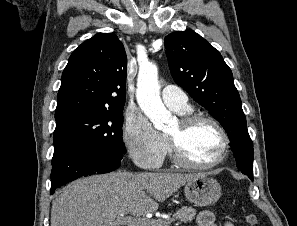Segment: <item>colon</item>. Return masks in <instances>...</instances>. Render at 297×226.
Returning a JSON list of instances; mask_svg holds the SVG:
<instances>
[{"instance_id": "1", "label": "colon", "mask_w": 297, "mask_h": 226, "mask_svg": "<svg viewBox=\"0 0 297 226\" xmlns=\"http://www.w3.org/2000/svg\"><path fill=\"white\" fill-rule=\"evenodd\" d=\"M245 223L247 226H256L258 224V218L254 214H247L245 216Z\"/></svg>"}]
</instances>
